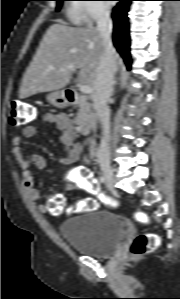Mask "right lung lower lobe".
<instances>
[{"instance_id": "right-lung-lower-lobe-1", "label": "right lung lower lobe", "mask_w": 180, "mask_h": 299, "mask_svg": "<svg viewBox=\"0 0 180 299\" xmlns=\"http://www.w3.org/2000/svg\"><path fill=\"white\" fill-rule=\"evenodd\" d=\"M120 2L113 9L112 18L114 23L113 28V43L117 51L123 57L127 68L131 69V57L129 53V24H128V7L132 0H119Z\"/></svg>"}]
</instances>
